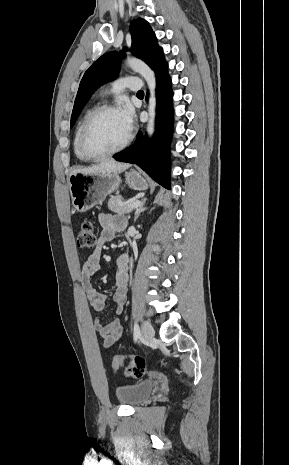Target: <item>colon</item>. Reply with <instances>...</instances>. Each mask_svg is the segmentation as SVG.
I'll return each instance as SVG.
<instances>
[{
  "instance_id": "obj_1",
  "label": "colon",
  "mask_w": 289,
  "mask_h": 465,
  "mask_svg": "<svg viewBox=\"0 0 289 465\" xmlns=\"http://www.w3.org/2000/svg\"><path fill=\"white\" fill-rule=\"evenodd\" d=\"M77 244L81 248L91 249L97 244L94 225L91 221L85 220L81 223L78 235ZM125 363L123 357H114L112 366L116 369L122 367ZM125 374L133 378H141L145 374V362L139 357L132 358L125 365Z\"/></svg>"
}]
</instances>
